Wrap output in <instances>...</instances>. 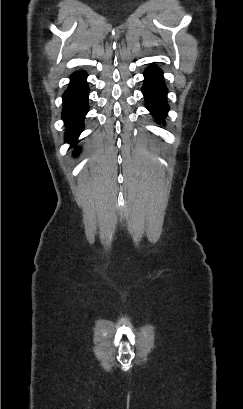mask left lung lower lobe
<instances>
[{
	"instance_id": "left-lung-lower-lobe-1",
	"label": "left lung lower lobe",
	"mask_w": 243,
	"mask_h": 409,
	"mask_svg": "<svg viewBox=\"0 0 243 409\" xmlns=\"http://www.w3.org/2000/svg\"><path fill=\"white\" fill-rule=\"evenodd\" d=\"M144 77L142 92L146 107L161 123L169 109L166 102L167 88L163 81L162 71L156 66H151L145 71Z\"/></svg>"
}]
</instances>
